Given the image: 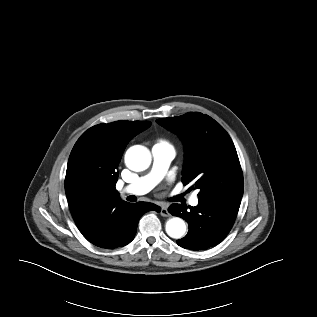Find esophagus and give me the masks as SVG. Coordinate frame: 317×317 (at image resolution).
<instances>
[{
    "label": "esophagus",
    "mask_w": 317,
    "mask_h": 317,
    "mask_svg": "<svg viewBox=\"0 0 317 317\" xmlns=\"http://www.w3.org/2000/svg\"><path fill=\"white\" fill-rule=\"evenodd\" d=\"M160 214H161L162 216H164V217L170 216L166 205H163V206L161 207Z\"/></svg>",
    "instance_id": "1"
}]
</instances>
